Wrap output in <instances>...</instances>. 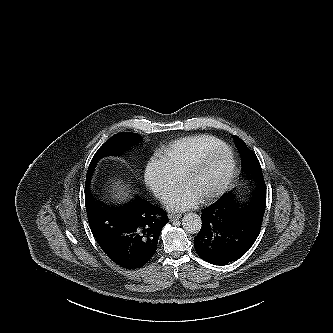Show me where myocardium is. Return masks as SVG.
<instances>
[{"label": "myocardium", "instance_id": "obj_1", "mask_svg": "<svg viewBox=\"0 0 333 333\" xmlns=\"http://www.w3.org/2000/svg\"><path fill=\"white\" fill-rule=\"evenodd\" d=\"M221 153H226L229 159L227 172L221 183L211 192L201 197L202 201H211L223 195L232 184L237 172V158L233 148L228 144L215 147L199 156L181 175V180L186 183L192 176L199 172L209 161Z\"/></svg>", "mask_w": 333, "mask_h": 333}]
</instances>
